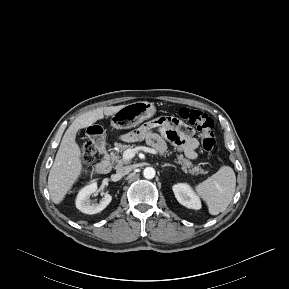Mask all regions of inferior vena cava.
<instances>
[{"label": "inferior vena cava", "mask_w": 289, "mask_h": 289, "mask_svg": "<svg viewBox=\"0 0 289 289\" xmlns=\"http://www.w3.org/2000/svg\"><path fill=\"white\" fill-rule=\"evenodd\" d=\"M132 169H133L132 166L120 167L116 170V175H117V177L121 178V177L127 175L129 172H131Z\"/></svg>", "instance_id": "obj_1"}]
</instances>
